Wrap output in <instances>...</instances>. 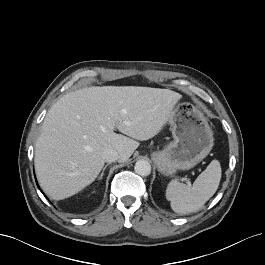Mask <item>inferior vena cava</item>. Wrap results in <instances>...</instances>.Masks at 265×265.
Segmentation results:
<instances>
[{
    "label": "inferior vena cava",
    "mask_w": 265,
    "mask_h": 265,
    "mask_svg": "<svg viewBox=\"0 0 265 265\" xmlns=\"http://www.w3.org/2000/svg\"><path fill=\"white\" fill-rule=\"evenodd\" d=\"M102 157L105 162L111 163L119 159V154L113 149H107L103 152Z\"/></svg>",
    "instance_id": "obj_1"
}]
</instances>
